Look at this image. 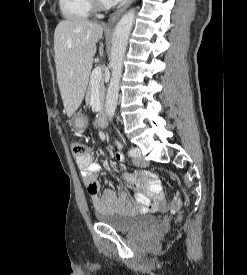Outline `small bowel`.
Returning a JSON list of instances; mask_svg holds the SVG:
<instances>
[{
  "label": "small bowel",
  "instance_id": "c3829d8e",
  "mask_svg": "<svg viewBox=\"0 0 247 275\" xmlns=\"http://www.w3.org/2000/svg\"><path fill=\"white\" fill-rule=\"evenodd\" d=\"M116 159L123 161V156L118 153ZM77 165L84 183L96 187V191L89 194L98 212L128 214L136 211H156L165 205L161 182L151 171L139 172V180L132 177L125 178L126 185L135 190L136 201L133 203L125 192L116 193L110 189H100L101 167L90 154L77 159Z\"/></svg>",
  "mask_w": 247,
  "mask_h": 275
}]
</instances>
